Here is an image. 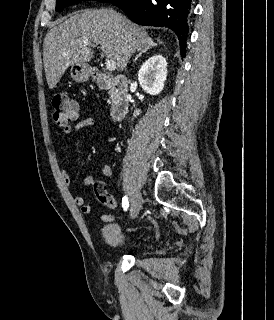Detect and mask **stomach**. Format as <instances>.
Here are the masks:
<instances>
[{
	"label": "stomach",
	"instance_id": "stomach-1",
	"mask_svg": "<svg viewBox=\"0 0 274 320\" xmlns=\"http://www.w3.org/2000/svg\"><path fill=\"white\" fill-rule=\"evenodd\" d=\"M92 74L93 70L88 64H74L71 68V76L76 82H86Z\"/></svg>",
	"mask_w": 274,
	"mask_h": 320
}]
</instances>
